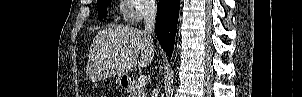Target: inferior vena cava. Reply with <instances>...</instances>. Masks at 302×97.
Segmentation results:
<instances>
[{"label":"inferior vena cava","mask_w":302,"mask_h":97,"mask_svg":"<svg viewBox=\"0 0 302 97\" xmlns=\"http://www.w3.org/2000/svg\"><path fill=\"white\" fill-rule=\"evenodd\" d=\"M156 19V2L155 0H147L144 4V28L145 32L152 35L155 30ZM151 97H158V89L152 91Z\"/></svg>","instance_id":"inferior-vena-cava-1"}]
</instances>
